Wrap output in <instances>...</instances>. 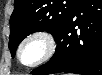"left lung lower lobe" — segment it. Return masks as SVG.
Masks as SVG:
<instances>
[{
	"mask_svg": "<svg viewBox=\"0 0 102 75\" xmlns=\"http://www.w3.org/2000/svg\"><path fill=\"white\" fill-rule=\"evenodd\" d=\"M54 39L55 54L31 74L102 75V1L81 0Z\"/></svg>",
	"mask_w": 102,
	"mask_h": 75,
	"instance_id": "obj_1",
	"label": "left lung lower lobe"
}]
</instances>
